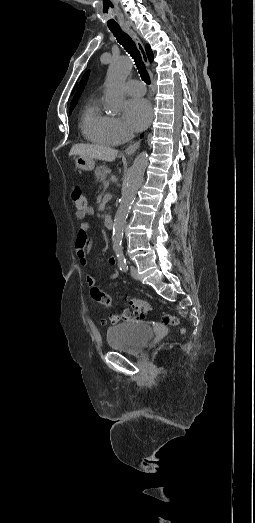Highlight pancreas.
<instances>
[{"label": "pancreas", "instance_id": "pancreas-1", "mask_svg": "<svg viewBox=\"0 0 255 523\" xmlns=\"http://www.w3.org/2000/svg\"><path fill=\"white\" fill-rule=\"evenodd\" d=\"M95 172V182H104V179L107 178V174H109L110 170L106 168V166H99V168H96L94 170Z\"/></svg>", "mask_w": 255, "mask_h": 523}]
</instances>
